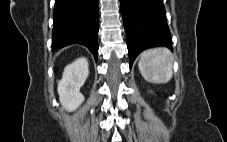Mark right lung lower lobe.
I'll return each mask as SVG.
<instances>
[{"label": "right lung lower lobe", "mask_w": 227, "mask_h": 142, "mask_svg": "<svg viewBox=\"0 0 227 142\" xmlns=\"http://www.w3.org/2000/svg\"><path fill=\"white\" fill-rule=\"evenodd\" d=\"M52 50L78 43L98 56V0H55Z\"/></svg>", "instance_id": "1"}]
</instances>
